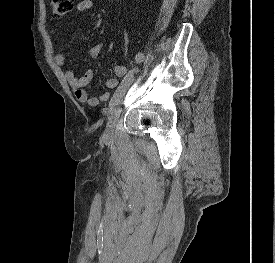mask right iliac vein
<instances>
[{
	"label": "right iliac vein",
	"mask_w": 275,
	"mask_h": 263,
	"mask_svg": "<svg viewBox=\"0 0 275 263\" xmlns=\"http://www.w3.org/2000/svg\"><path fill=\"white\" fill-rule=\"evenodd\" d=\"M125 93H126V89L110 105V109L108 111V122L103 134V139L105 142H109L113 135L115 121L120 113L121 104L124 101Z\"/></svg>",
	"instance_id": "right-iliac-vein-1"
}]
</instances>
